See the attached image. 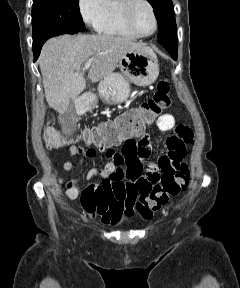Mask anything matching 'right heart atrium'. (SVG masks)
<instances>
[{"mask_svg": "<svg viewBox=\"0 0 240 288\" xmlns=\"http://www.w3.org/2000/svg\"><path fill=\"white\" fill-rule=\"evenodd\" d=\"M106 6V0H78V8L83 20L97 27L103 17Z\"/></svg>", "mask_w": 240, "mask_h": 288, "instance_id": "d8ad5b80", "label": "right heart atrium"}]
</instances>
